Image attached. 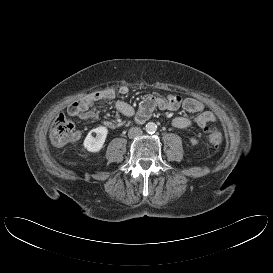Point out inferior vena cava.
<instances>
[{"instance_id":"1","label":"inferior vena cava","mask_w":273,"mask_h":273,"mask_svg":"<svg viewBox=\"0 0 273 273\" xmlns=\"http://www.w3.org/2000/svg\"><path fill=\"white\" fill-rule=\"evenodd\" d=\"M143 133L142 129L139 127H132L128 132L129 138H135L141 136Z\"/></svg>"}]
</instances>
